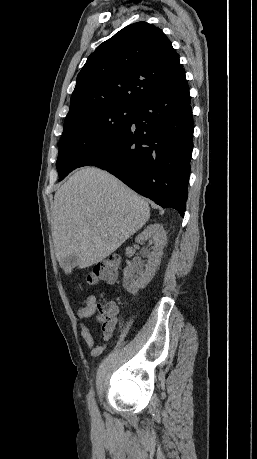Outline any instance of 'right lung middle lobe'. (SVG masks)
<instances>
[{
	"label": "right lung middle lobe",
	"instance_id": "1",
	"mask_svg": "<svg viewBox=\"0 0 257 459\" xmlns=\"http://www.w3.org/2000/svg\"><path fill=\"white\" fill-rule=\"evenodd\" d=\"M136 107H110L64 126L56 167L59 181L107 147L129 126Z\"/></svg>",
	"mask_w": 257,
	"mask_h": 459
}]
</instances>
